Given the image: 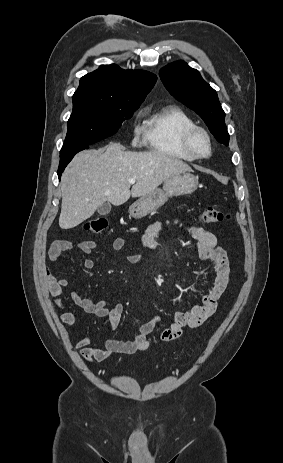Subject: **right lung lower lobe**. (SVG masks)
Wrapping results in <instances>:
<instances>
[{"label": "right lung lower lobe", "instance_id": "98d812e1", "mask_svg": "<svg viewBox=\"0 0 283 463\" xmlns=\"http://www.w3.org/2000/svg\"><path fill=\"white\" fill-rule=\"evenodd\" d=\"M89 148L88 146L76 148L70 151L66 152H61L60 153V163H59V168H58V177L60 179L62 172L64 171L65 167L68 165V163L72 160L74 155L78 153L81 150Z\"/></svg>", "mask_w": 283, "mask_h": 463}]
</instances>
